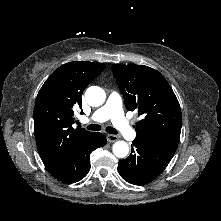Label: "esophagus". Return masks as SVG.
<instances>
[{
    "instance_id": "obj_1",
    "label": "esophagus",
    "mask_w": 221,
    "mask_h": 221,
    "mask_svg": "<svg viewBox=\"0 0 221 221\" xmlns=\"http://www.w3.org/2000/svg\"><path fill=\"white\" fill-rule=\"evenodd\" d=\"M107 140H108L109 142H115V141L118 140V136L113 135V134H108V135H107Z\"/></svg>"
}]
</instances>
